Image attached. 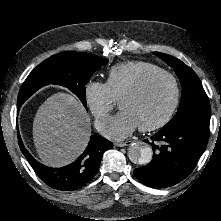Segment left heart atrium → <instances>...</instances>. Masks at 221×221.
Listing matches in <instances>:
<instances>
[{"instance_id": "left-heart-atrium-1", "label": "left heart atrium", "mask_w": 221, "mask_h": 221, "mask_svg": "<svg viewBox=\"0 0 221 221\" xmlns=\"http://www.w3.org/2000/svg\"><path fill=\"white\" fill-rule=\"evenodd\" d=\"M138 122L127 110L121 109L114 116L99 124L100 131L114 140H121L130 135L137 127Z\"/></svg>"}]
</instances>
